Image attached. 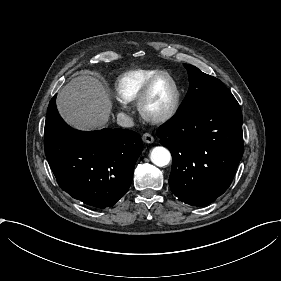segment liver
<instances>
[{
  "instance_id": "6515ba94",
  "label": "liver",
  "mask_w": 281,
  "mask_h": 281,
  "mask_svg": "<svg viewBox=\"0 0 281 281\" xmlns=\"http://www.w3.org/2000/svg\"><path fill=\"white\" fill-rule=\"evenodd\" d=\"M113 107L108 89L91 75L71 79L56 97V108L61 118L79 131L107 128Z\"/></svg>"
}]
</instances>
